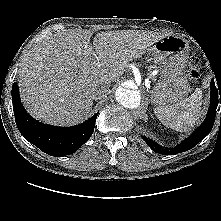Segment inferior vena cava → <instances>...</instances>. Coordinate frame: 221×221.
I'll return each instance as SVG.
<instances>
[{"label":"inferior vena cava","mask_w":221,"mask_h":221,"mask_svg":"<svg viewBox=\"0 0 221 221\" xmlns=\"http://www.w3.org/2000/svg\"><path fill=\"white\" fill-rule=\"evenodd\" d=\"M107 92H108V88L106 86H102V87L95 90V92L93 94V98L95 100L104 98L106 96Z\"/></svg>","instance_id":"obj_1"}]
</instances>
